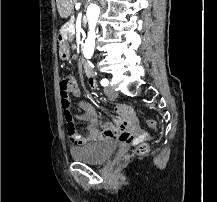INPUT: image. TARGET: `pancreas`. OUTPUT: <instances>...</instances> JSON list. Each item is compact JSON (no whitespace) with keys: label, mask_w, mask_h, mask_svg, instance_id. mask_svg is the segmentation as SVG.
Segmentation results:
<instances>
[{"label":"pancreas","mask_w":217,"mask_h":202,"mask_svg":"<svg viewBox=\"0 0 217 202\" xmlns=\"http://www.w3.org/2000/svg\"><path fill=\"white\" fill-rule=\"evenodd\" d=\"M69 25V23H65L63 26H62V33L64 34V33H67L68 34V36H69V40H70V42H72V40H73V34H70V32H67V26Z\"/></svg>","instance_id":"pancreas-1"}]
</instances>
